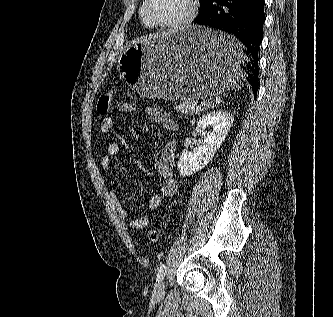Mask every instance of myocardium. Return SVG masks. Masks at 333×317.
Masks as SVG:
<instances>
[{"label": "myocardium", "instance_id": "myocardium-1", "mask_svg": "<svg viewBox=\"0 0 333 317\" xmlns=\"http://www.w3.org/2000/svg\"><path fill=\"white\" fill-rule=\"evenodd\" d=\"M150 0H144L141 7V15L151 28H160L168 30H181L187 27L196 17L199 3L198 0H186L187 11L178 20L173 22H159L151 19L148 15V4Z\"/></svg>", "mask_w": 333, "mask_h": 317}]
</instances>
